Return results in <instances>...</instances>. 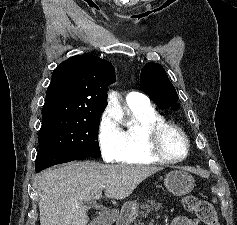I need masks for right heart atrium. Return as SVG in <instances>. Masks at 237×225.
I'll list each match as a JSON object with an SVG mask.
<instances>
[{
  "instance_id": "d8ad5b80",
  "label": "right heart atrium",
  "mask_w": 237,
  "mask_h": 225,
  "mask_svg": "<svg viewBox=\"0 0 237 225\" xmlns=\"http://www.w3.org/2000/svg\"><path fill=\"white\" fill-rule=\"evenodd\" d=\"M97 141L106 162L119 161L124 149L122 130L107 112L103 113L99 119Z\"/></svg>"
}]
</instances>
